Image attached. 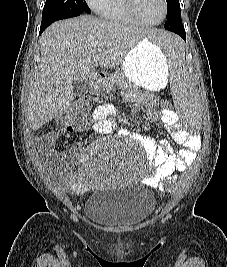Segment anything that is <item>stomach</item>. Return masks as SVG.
<instances>
[{
  "label": "stomach",
  "instance_id": "1",
  "mask_svg": "<svg viewBox=\"0 0 227 267\" xmlns=\"http://www.w3.org/2000/svg\"><path fill=\"white\" fill-rule=\"evenodd\" d=\"M121 70L128 80L148 90L158 91L168 82L166 55L151 38L142 39L128 52Z\"/></svg>",
  "mask_w": 227,
  "mask_h": 267
}]
</instances>
